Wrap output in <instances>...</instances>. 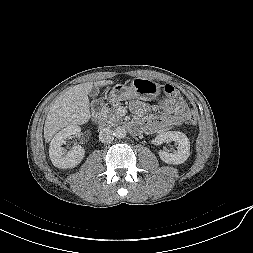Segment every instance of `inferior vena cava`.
<instances>
[{"mask_svg":"<svg viewBox=\"0 0 253 253\" xmlns=\"http://www.w3.org/2000/svg\"><path fill=\"white\" fill-rule=\"evenodd\" d=\"M99 139L102 143H111L114 139L113 131L109 127L102 128L99 132Z\"/></svg>","mask_w":253,"mask_h":253,"instance_id":"inferior-vena-cava-1","label":"inferior vena cava"}]
</instances>
